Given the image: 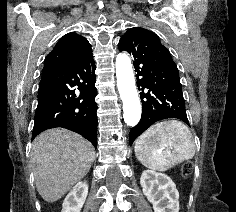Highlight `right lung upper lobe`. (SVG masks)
I'll list each match as a JSON object with an SVG mask.
<instances>
[{
    "label": "right lung upper lobe",
    "mask_w": 236,
    "mask_h": 212,
    "mask_svg": "<svg viewBox=\"0 0 236 212\" xmlns=\"http://www.w3.org/2000/svg\"><path fill=\"white\" fill-rule=\"evenodd\" d=\"M89 42L74 32L64 35L54 49L46 56L43 70H49L78 58L87 48Z\"/></svg>",
    "instance_id": "right-lung-upper-lobe-1"
}]
</instances>
